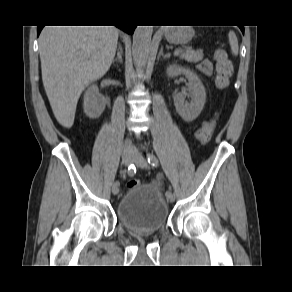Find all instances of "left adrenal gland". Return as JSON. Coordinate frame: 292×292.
<instances>
[{
    "label": "left adrenal gland",
    "mask_w": 292,
    "mask_h": 292,
    "mask_svg": "<svg viewBox=\"0 0 292 292\" xmlns=\"http://www.w3.org/2000/svg\"><path fill=\"white\" fill-rule=\"evenodd\" d=\"M161 56H162L164 59H166V58L169 57L168 54H164V53H163V47H161V49H160V51H159L158 59H159Z\"/></svg>",
    "instance_id": "left-adrenal-gland-1"
}]
</instances>
